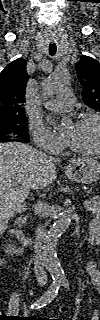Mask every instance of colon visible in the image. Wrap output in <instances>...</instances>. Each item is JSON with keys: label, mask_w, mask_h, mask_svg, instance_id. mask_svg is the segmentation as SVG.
I'll use <instances>...</instances> for the list:
<instances>
[{"label": "colon", "mask_w": 100, "mask_h": 320, "mask_svg": "<svg viewBox=\"0 0 100 320\" xmlns=\"http://www.w3.org/2000/svg\"><path fill=\"white\" fill-rule=\"evenodd\" d=\"M90 243L94 246L100 244L99 227L94 226L91 230Z\"/></svg>", "instance_id": "1"}]
</instances>
